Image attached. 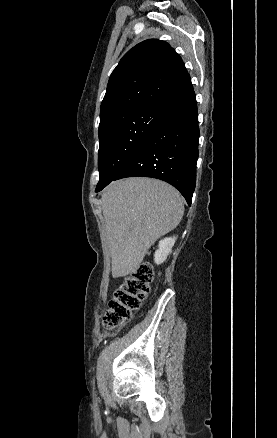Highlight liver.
Segmentation results:
<instances>
[{
	"instance_id": "1",
	"label": "liver",
	"mask_w": 277,
	"mask_h": 438,
	"mask_svg": "<svg viewBox=\"0 0 277 438\" xmlns=\"http://www.w3.org/2000/svg\"><path fill=\"white\" fill-rule=\"evenodd\" d=\"M113 278L133 274L147 250L180 224L183 200L173 188L153 178H126L109 184L101 196Z\"/></svg>"
}]
</instances>
